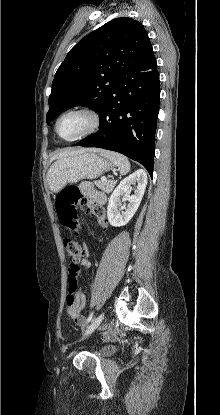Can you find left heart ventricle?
<instances>
[{
  "instance_id": "1",
  "label": "left heart ventricle",
  "mask_w": 220,
  "mask_h": 415,
  "mask_svg": "<svg viewBox=\"0 0 220 415\" xmlns=\"http://www.w3.org/2000/svg\"><path fill=\"white\" fill-rule=\"evenodd\" d=\"M90 119L80 113L65 116L58 125V133L62 138H74L88 129Z\"/></svg>"
}]
</instances>
